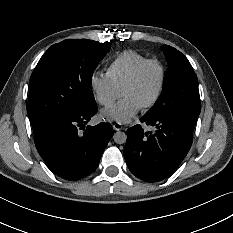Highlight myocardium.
<instances>
[{
    "label": "myocardium",
    "mask_w": 233,
    "mask_h": 233,
    "mask_svg": "<svg viewBox=\"0 0 233 233\" xmlns=\"http://www.w3.org/2000/svg\"><path fill=\"white\" fill-rule=\"evenodd\" d=\"M150 64H157L160 67L161 79H160L158 90L154 98L143 106L144 109L153 108L160 101L163 95L165 85H166V80H167V68L164 62L158 58L146 59L131 73V75L126 79V81L121 86V90L133 86L138 81L139 77L141 76L145 68Z\"/></svg>",
    "instance_id": "f54148a6"
}]
</instances>
